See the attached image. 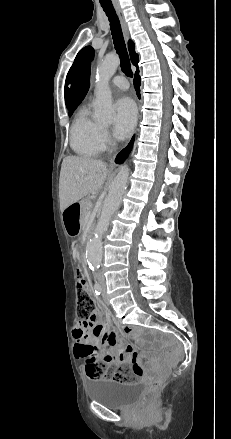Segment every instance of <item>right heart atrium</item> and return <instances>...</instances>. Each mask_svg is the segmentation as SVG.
Returning <instances> with one entry per match:
<instances>
[{"label": "right heart atrium", "instance_id": "right-heart-atrium-1", "mask_svg": "<svg viewBox=\"0 0 231 439\" xmlns=\"http://www.w3.org/2000/svg\"><path fill=\"white\" fill-rule=\"evenodd\" d=\"M99 140H100L102 148L107 147V145L110 142V135H109L108 130L105 127H100Z\"/></svg>", "mask_w": 231, "mask_h": 439}]
</instances>
